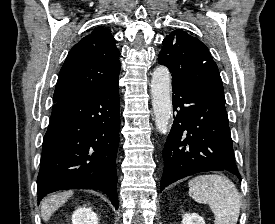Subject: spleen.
I'll use <instances>...</instances> for the list:
<instances>
[{
    "instance_id": "3e777b00",
    "label": "spleen",
    "mask_w": 275,
    "mask_h": 224,
    "mask_svg": "<svg viewBox=\"0 0 275 224\" xmlns=\"http://www.w3.org/2000/svg\"><path fill=\"white\" fill-rule=\"evenodd\" d=\"M189 195L208 204L215 224H236L240 213V195L234 183L221 175H199L188 183Z\"/></svg>"
}]
</instances>
